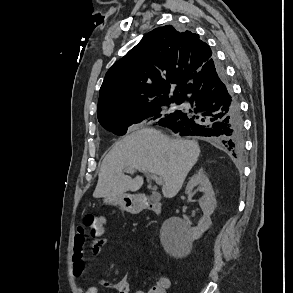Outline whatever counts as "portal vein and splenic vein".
Listing matches in <instances>:
<instances>
[{
	"instance_id": "1",
	"label": "portal vein and splenic vein",
	"mask_w": 293,
	"mask_h": 293,
	"mask_svg": "<svg viewBox=\"0 0 293 293\" xmlns=\"http://www.w3.org/2000/svg\"><path fill=\"white\" fill-rule=\"evenodd\" d=\"M134 169H129L128 172H132ZM150 177L155 180V182L158 184V185H162L163 184V179L162 177L156 175V174H151Z\"/></svg>"
}]
</instances>
